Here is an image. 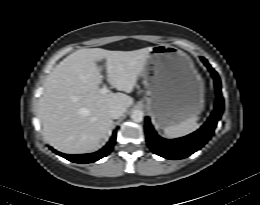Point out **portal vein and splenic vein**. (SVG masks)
Here are the masks:
<instances>
[{
    "instance_id": "18ae733b",
    "label": "portal vein and splenic vein",
    "mask_w": 260,
    "mask_h": 205,
    "mask_svg": "<svg viewBox=\"0 0 260 205\" xmlns=\"http://www.w3.org/2000/svg\"><path fill=\"white\" fill-rule=\"evenodd\" d=\"M109 92V89L106 84L103 85V87L100 89V93L106 94Z\"/></svg>"
}]
</instances>
